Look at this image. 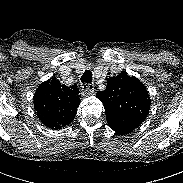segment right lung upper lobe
<instances>
[{
  "instance_id": "cb5924a9",
  "label": "right lung upper lobe",
  "mask_w": 183,
  "mask_h": 183,
  "mask_svg": "<svg viewBox=\"0 0 183 183\" xmlns=\"http://www.w3.org/2000/svg\"><path fill=\"white\" fill-rule=\"evenodd\" d=\"M78 94L76 84L67 87L54 78L40 84L33 100L41 122L52 129L70 124L80 104Z\"/></svg>"
}]
</instances>
